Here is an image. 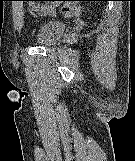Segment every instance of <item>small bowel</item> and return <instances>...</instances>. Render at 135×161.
I'll return each mask as SVG.
<instances>
[{"mask_svg":"<svg viewBox=\"0 0 135 161\" xmlns=\"http://www.w3.org/2000/svg\"><path fill=\"white\" fill-rule=\"evenodd\" d=\"M40 11L43 12V13L53 12V8L47 6V7L42 8Z\"/></svg>","mask_w":135,"mask_h":161,"instance_id":"c3829d8e","label":"small bowel"}]
</instances>
